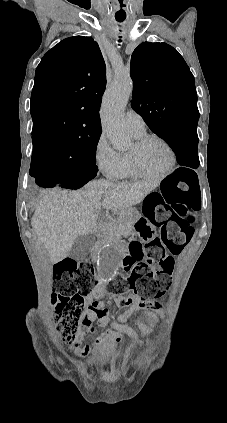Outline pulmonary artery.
<instances>
[{"label": "pulmonary artery", "mask_w": 227, "mask_h": 423, "mask_svg": "<svg viewBox=\"0 0 227 423\" xmlns=\"http://www.w3.org/2000/svg\"><path fill=\"white\" fill-rule=\"evenodd\" d=\"M125 122L128 130L134 134H143L146 132L143 118L134 111L129 110L126 112Z\"/></svg>", "instance_id": "1"}]
</instances>
